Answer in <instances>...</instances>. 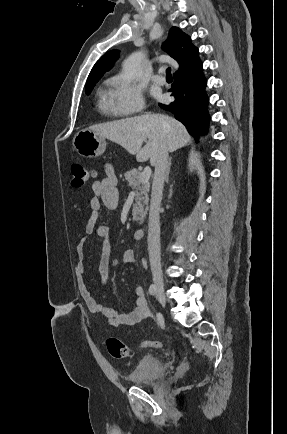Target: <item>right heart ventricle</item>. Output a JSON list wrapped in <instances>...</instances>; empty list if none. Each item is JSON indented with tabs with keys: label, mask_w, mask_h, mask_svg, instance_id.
Instances as JSON below:
<instances>
[{
	"label": "right heart ventricle",
	"mask_w": 287,
	"mask_h": 434,
	"mask_svg": "<svg viewBox=\"0 0 287 434\" xmlns=\"http://www.w3.org/2000/svg\"><path fill=\"white\" fill-rule=\"evenodd\" d=\"M99 107L102 111L110 114H115L113 110L111 109V106L108 101V92L105 90H102L100 92V101H99Z\"/></svg>",
	"instance_id": "right-heart-ventricle-1"
}]
</instances>
